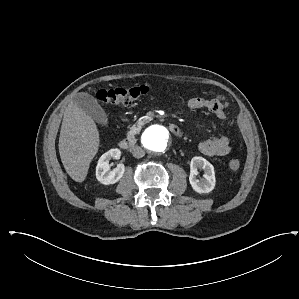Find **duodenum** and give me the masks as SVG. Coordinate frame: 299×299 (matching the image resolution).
<instances>
[{
    "mask_svg": "<svg viewBox=\"0 0 299 299\" xmlns=\"http://www.w3.org/2000/svg\"><path fill=\"white\" fill-rule=\"evenodd\" d=\"M168 129L170 130V132L172 134H174L177 137H181L183 134L180 127L175 123H169ZM135 144H136V137L133 135H130V136H127L124 139H122L119 145L122 149H129V148L133 147Z\"/></svg>",
    "mask_w": 299,
    "mask_h": 299,
    "instance_id": "duodenum-1",
    "label": "duodenum"
}]
</instances>
